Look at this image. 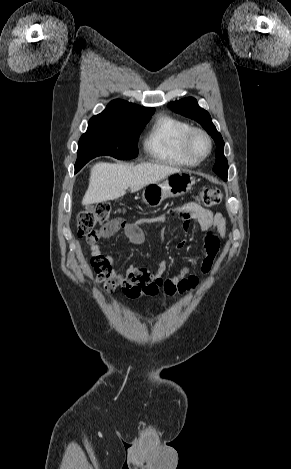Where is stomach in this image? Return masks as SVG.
I'll use <instances>...</instances> for the list:
<instances>
[{"label":"stomach","mask_w":291,"mask_h":469,"mask_svg":"<svg viewBox=\"0 0 291 469\" xmlns=\"http://www.w3.org/2000/svg\"><path fill=\"white\" fill-rule=\"evenodd\" d=\"M195 179L188 172H177L162 183H151L142 193L143 202L150 207L159 206L168 197H178L187 193L194 185Z\"/></svg>","instance_id":"1"}]
</instances>
